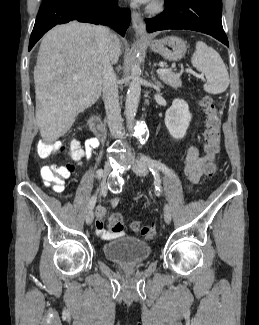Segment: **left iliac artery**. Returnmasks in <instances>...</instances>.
<instances>
[{
	"label": "left iliac artery",
	"mask_w": 259,
	"mask_h": 325,
	"mask_svg": "<svg viewBox=\"0 0 259 325\" xmlns=\"http://www.w3.org/2000/svg\"><path fill=\"white\" fill-rule=\"evenodd\" d=\"M141 159L142 160H150L151 161V164H154L155 165V168H160L161 171L167 175H170V176H173V173L172 171L166 166L164 165L163 163L157 161V160H154L146 155H141Z\"/></svg>",
	"instance_id": "obj_1"
}]
</instances>
